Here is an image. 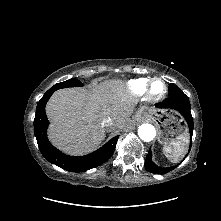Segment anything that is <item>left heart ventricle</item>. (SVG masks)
Masks as SVG:
<instances>
[{
    "mask_svg": "<svg viewBox=\"0 0 221 221\" xmlns=\"http://www.w3.org/2000/svg\"><path fill=\"white\" fill-rule=\"evenodd\" d=\"M162 90H163V85H162V83H160V82H155V83L153 84L152 91H153L155 94L161 93Z\"/></svg>",
    "mask_w": 221,
    "mask_h": 221,
    "instance_id": "obj_1",
    "label": "left heart ventricle"
}]
</instances>
